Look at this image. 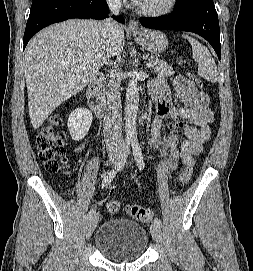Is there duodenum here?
Segmentation results:
<instances>
[{"mask_svg":"<svg viewBox=\"0 0 253 271\" xmlns=\"http://www.w3.org/2000/svg\"><path fill=\"white\" fill-rule=\"evenodd\" d=\"M102 76L99 75L96 79L92 80L87 88V99L90 108L95 112V114L104 119L106 117V109L104 103L99 94V85Z\"/></svg>","mask_w":253,"mask_h":271,"instance_id":"410a0bca","label":"duodenum"}]
</instances>
